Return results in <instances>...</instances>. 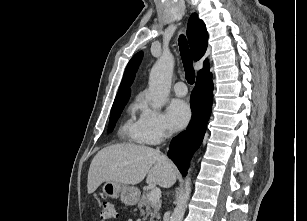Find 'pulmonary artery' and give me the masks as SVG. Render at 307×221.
Here are the masks:
<instances>
[{
  "label": "pulmonary artery",
  "mask_w": 307,
  "mask_h": 221,
  "mask_svg": "<svg viewBox=\"0 0 307 221\" xmlns=\"http://www.w3.org/2000/svg\"><path fill=\"white\" fill-rule=\"evenodd\" d=\"M173 89L177 96H185L187 94V87L183 82L175 83Z\"/></svg>",
  "instance_id": "pulmonary-artery-1"
}]
</instances>
